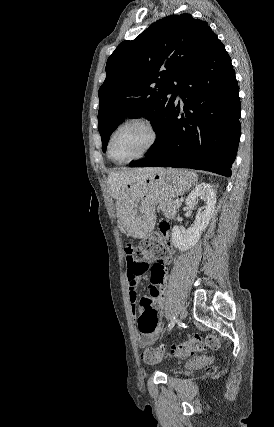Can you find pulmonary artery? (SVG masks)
<instances>
[{
  "label": "pulmonary artery",
  "instance_id": "pulmonary-artery-1",
  "mask_svg": "<svg viewBox=\"0 0 274 427\" xmlns=\"http://www.w3.org/2000/svg\"><path fill=\"white\" fill-rule=\"evenodd\" d=\"M175 94H176V101L182 102V97L177 90H175Z\"/></svg>",
  "mask_w": 274,
  "mask_h": 427
}]
</instances>
